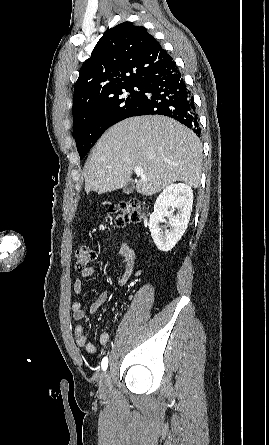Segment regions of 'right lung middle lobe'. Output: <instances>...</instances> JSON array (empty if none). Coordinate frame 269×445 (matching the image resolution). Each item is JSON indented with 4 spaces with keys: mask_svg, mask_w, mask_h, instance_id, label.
<instances>
[{
    "mask_svg": "<svg viewBox=\"0 0 269 445\" xmlns=\"http://www.w3.org/2000/svg\"><path fill=\"white\" fill-rule=\"evenodd\" d=\"M137 88L139 91L134 90ZM142 94V84H129L95 96L73 109L74 137L83 159L104 131L125 119Z\"/></svg>",
    "mask_w": 269,
    "mask_h": 445,
    "instance_id": "1",
    "label": "right lung middle lobe"
}]
</instances>
